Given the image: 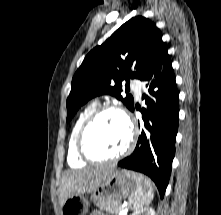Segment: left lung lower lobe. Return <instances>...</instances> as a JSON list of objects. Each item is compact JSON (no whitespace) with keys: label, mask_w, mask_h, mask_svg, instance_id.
Masks as SVG:
<instances>
[{"label":"left lung lower lobe","mask_w":221,"mask_h":215,"mask_svg":"<svg viewBox=\"0 0 221 215\" xmlns=\"http://www.w3.org/2000/svg\"><path fill=\"white\" fill-rule=\"evenodd\" d=\"M140 80L146 83L149 93L142 95L147 105L141 110L144 127L134 152L118 166L149 176L163 198L171 174L179 119V92L167 46L160 49Z\"/></svg>","instance_id":"obj_1"}]
</instances>
